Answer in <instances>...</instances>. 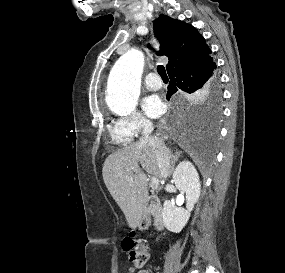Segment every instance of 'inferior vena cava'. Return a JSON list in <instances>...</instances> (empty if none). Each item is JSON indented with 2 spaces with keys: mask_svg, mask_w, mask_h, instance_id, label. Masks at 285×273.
I'll return each mask as SVG.
<instances>
[{
  "mask_svg": "<svg viewBox=\"0 0 285 273\" xmlns=\"http://www.w3.org/2000/svg\"><path fill=\"white\" fill-rule=\"evenodd\" d=\"M153 131V124L149 120L143 122L141 142H148L156 147V157L160 169L161 177L166 179L170 174L171 157L168 149L166 148L163 139L157 136H151Z\"/></svg>",
  "mask_w": 285,
  "mask_h": 273,
  "instance_id": "obj_1",
  "label": "inferior vena cava"
}]
</instances>
